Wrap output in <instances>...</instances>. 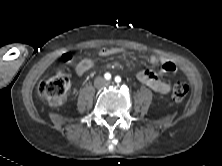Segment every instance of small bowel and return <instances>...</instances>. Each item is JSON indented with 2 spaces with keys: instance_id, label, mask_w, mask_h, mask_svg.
I'll return each mask as SVG.
<instances>
[{
  "instance_id": "1",
  "label": "small bowel",
  "mask_w": 222,
  "mask_h": 166,
  "mask_svg": "<svg viewBox=\"0 0 222 166\" xmlns=\"http://www.w3.org/2000/svg\"><path fill=\"white\" fill-rule=\"evenodd\" d=\"M126 51L121 48H102L99 55L103 57L125 55ZM149 61L153 65H161V74L175 73L177 70L176 65L167 58L160 57L157 54H151ZM94 67V61L91 58H83L75 65V72L77 75L82 76L87 71ZM161 74L148 70H139L136 73L137 79L144 85L150 87L157 93L165 94L170 91V84L161 78Z\"/></svg>"
}]
</instances>
